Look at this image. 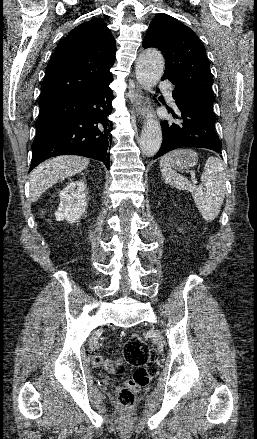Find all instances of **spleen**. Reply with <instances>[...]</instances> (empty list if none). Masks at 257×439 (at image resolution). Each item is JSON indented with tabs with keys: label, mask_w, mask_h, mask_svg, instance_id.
Wrapping results in <instances>:
<instances>
[{
	"label": "spleen",
	"mask_w": 257,
	"mask_h": 439,
	"mask_svg": "<svg viewBox=\"0 0 257 439\" xmlns=\"http://www.w3.org/2000/svg\"><path fill=\"white\" fill-rule=\"evenodd\" d=\"M171 157L172 153H168L160 161L165 182L176 189L190 191L202 218L206 222L214 221L220 213L226 192L223 162L217 157H209L201 175V184L196 186L171 169Z\"/></svg>",
	"instance_id": "3e777b00"
}]
</instances>
